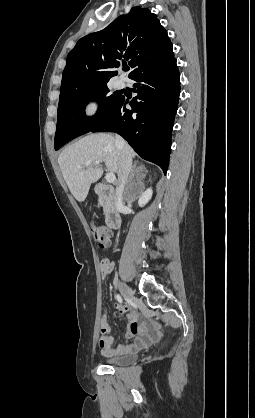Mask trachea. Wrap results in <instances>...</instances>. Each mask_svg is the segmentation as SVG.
Masks as SVG:
<instances>
[{"label":"trachea","instance_id":"3493384b","mask_svg":"<svg viewBox=\"0 0 255 418\" xmlns=\"http://www.w3.org/2000/svg\"><path fill=\"white\" fill-rule=\"evenodd\" d=\"M123 70L124 71H128L129 70V67H124Z\"/></svg>","mask_w":255,"mask_h":418}]
</instances>
